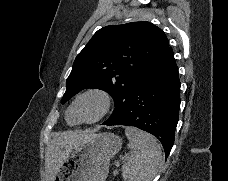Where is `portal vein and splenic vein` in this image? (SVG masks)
Instances as JSON below:
<instances>
[{"instance_id":"18ae733b","label":"portal vein and splenic vein","mask_w":228,"mask_h":181,"mask_svg":"<svg viewBox=\"0 0 228 181\" xmlns=\"http://www.w3.org/2000/svg\"><path fill=\"white\" fill-rule=\"evenodd\" d=\"M125 157H129V155H125ZM125 157H122V159H125ZM116 167H119V163H116Z\"/></svg>"}]
</instances>
